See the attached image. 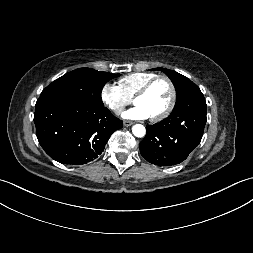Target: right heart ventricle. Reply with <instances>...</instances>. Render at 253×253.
<instances>
[{"label": "right heart ventricle", "mask_w": 253, "mask_h": 253, "mask_svg": "<svg viewBox=\"0 0 253 253\" xmlns=\"http://www.w3.org/2000/svg\"><path fill=\"white\" fill-rule=\"evenodd\" d=\"M155 76L157 75L154 73H131L120 78L118 80V85L129 97L132 98L145 83Z\"/></svg>", "instance_id": "obj_1"}]
</instances>
